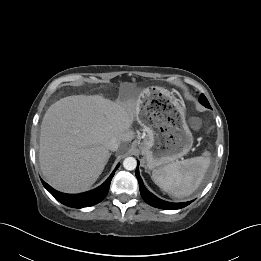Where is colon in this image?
I'll use <instances>...</instances> for the list:
<instances>
[{
	"label": "colon",
	"instance_id": "1",
	"mask_svg": "<svg viewBox=\"0 0 261 261\" xmlns=\"http://www.w3.org/2000/svg\"><path fill=\"white\" fill-rule=\"evenodd\" d=\"M192 125L194 126V127H198L199 125H200V122L198 121V120H192Z\"/></svg>",
	"mask_w": 261,
	"mask_h": 261
}]
</instances>
